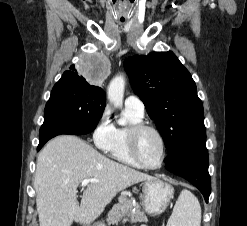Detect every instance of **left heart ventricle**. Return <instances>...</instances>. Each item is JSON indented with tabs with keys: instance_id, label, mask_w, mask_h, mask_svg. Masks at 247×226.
<instances>
[{
	"instance_id": "1",
	"label": "left heart ventricle",
	"mask_w": 247,
	"mask_h": 226,
	"mask_svg": "<svg viewBox=\"0 0 247 226\" xmlns=\"http://www.w3.org/2000/svg\"><path fill=\"white\" fill-rule=\"evenodd\" d=\"M137 149L142 161L148 165H156L161 159V143L152 131H143L137 140Z\"/></svg>"
}]
</instances>
